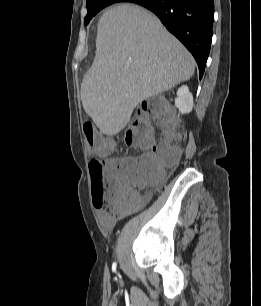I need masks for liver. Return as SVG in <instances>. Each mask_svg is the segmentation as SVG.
<instances>
[{
    "label": "liver",
    "mask_w": 261,
    "mask_h": 306,
    "mask_svg": "<svg viewBox=\"0 0 261 306\" xmlns=\"http://www.w3.org/2000/svg\"><path fill=\"white\" fill-rule=\"evenodd\" d=\"M194 71L192 55L156 16L136 5H117L98 22L82 105L102 133L115 135L139 103L189 80Z\"/></svg>",
    "instance_id": "liver-1"
}]
</instances>
